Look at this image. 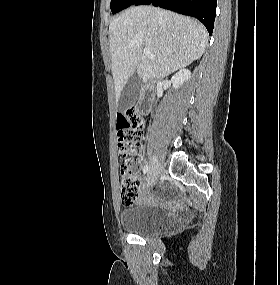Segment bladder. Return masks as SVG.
<instances>
[{
  "label": "bladder",
  "instance_id": "obj_1",
  "mask_svg": "<svg viewBox=\"0 0 280 285\" xmlns=\"http://www.w3.org/2000/svg\"><path fill=\"white\" fill-rule=\"evenodd\" d=\"M172 218L151 205L137 204L120 213L121 227L136 235L148 236L161 232Z\"/></svg>",
  "mask_w": 280,
  "mask_h": 285
}]
</instances>
